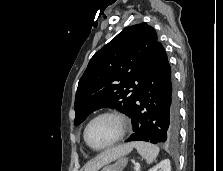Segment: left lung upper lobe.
I'll return each mask as SVG.
<instances>
[{
    "label": "left lung upper lobe",
    "instance_id": "obj_1",
    "mask_svg": "<svg viewBox=\"0 0 223 171\" xmlns=\"http://www.w3.org/2000/svg\"><path fill=\"white\" fill-rule=\"evenodd\" d=\"M158 43L155 29L141 23L126 27L97 51L78 83L74 124L102 107L116 108L130 117Z\"/></svg>",
    "mask_w": 223,
    "mask_h": 171
}]
</instances>
